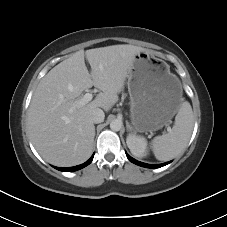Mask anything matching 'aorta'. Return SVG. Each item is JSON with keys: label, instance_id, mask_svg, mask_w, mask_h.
I'll use <instances>...</instances> for the list:
<instances>
[{"label": "aorta", "instance_id": "aorta-1", "mask_svg": "<svg viewBox=\"0 0 227 227\" xmlns=\"http://www.w3.org/2000/svg\"><path fill=\"white\" fill-rule=\"evenodd\" d=\"M122 127V122L120 120H113L110 123V128L112 131H119Z\"/></svg>", "mask_w": 227, "mask_h": 227}]
</instances>
